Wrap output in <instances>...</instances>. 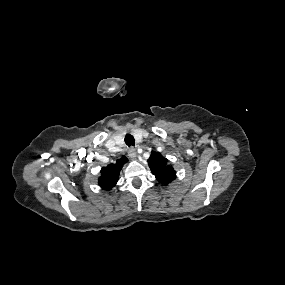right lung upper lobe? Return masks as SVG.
I'll list each match as a JSON object with an SVG mask.
<instances>
[{
  "instance_id": "1",
  "label": "right lung upper lobe",
  "mask_w": 285,
  "mask_h": 285,
  "mask_svg": "<svg viewBox=\"0 0 285 285\" xmlns=\"http://www.w3.org/2000/svg\"><path fill=\"white\" fill-rule=\"evenodd\" d=\"M126 162L127 159L122 157L115 164H110L101 169V177L98 183L103 190L109 191L116 185L120 170Z\"/></svg>"
}]
</instances>
